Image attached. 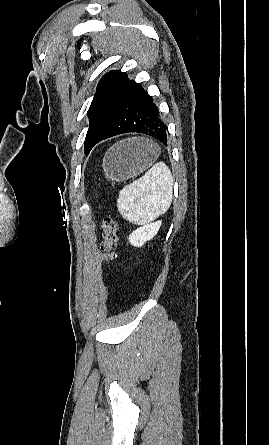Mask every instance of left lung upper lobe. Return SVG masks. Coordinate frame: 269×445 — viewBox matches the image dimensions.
<instances>
[{"label": "left lung upper lobe", "instance_id": "left-lung-upper-lobe-1", "mask_svg": "<svg viewBox=\"0 0 269 445\" xmlns=\"http://www.w3.org/2000/svg\"><path fill=\"white\" fill-rule=\"evenodd\" d=\"M126 73L121 71L108 72L99 82L88 116L89 129L85 138V154L92 149L95 138L99 135L128 84Z\"/></svg>", "mask_w": 269, "mask_h": 445}]
</instances>
